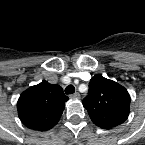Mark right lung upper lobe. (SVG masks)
Masks as SVG:
<instances>
[{
    "label": "right lung upper lobe",
    "instance_id": "1",
    "mask_svg": "<svg viewBox=\"0 0 145 145\" xmlns=\"http://www.w3.org/2000/svg\"><path fill=\"white\" fill-rule=\"evenodd\" d=\"M68 99L62 87L44 80L20 95L17 102L19 118L29 129L49 130L58 123Z\"/></svg>",
    "mask_w": 145,
    "mask_h": 145
}]
</instances>
